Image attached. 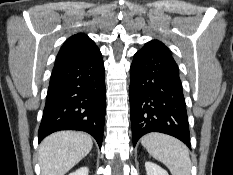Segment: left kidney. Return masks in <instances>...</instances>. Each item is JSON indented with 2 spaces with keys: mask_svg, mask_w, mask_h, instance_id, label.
Returning a JSON list of instances; mask_svg holds the SVG:
<instances>
[{
  "mask_svg": "<svg viewBox=\"0 0 233 175\" xmlns=\"http://www.w3.org/2000/svg\"><path fill=\"white\" fill-rule=\"evenodd\" d=\"M147 175H169L166 170L153 162H145Z\"/></svg>",
  "mask_w": 233,
  "mask_h": 175,
  "instance_id": "1",
  "label": "left kidney"
}]
</instances>
